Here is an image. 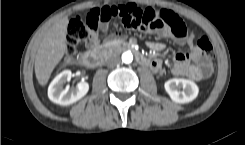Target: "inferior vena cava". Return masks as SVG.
<instances>
[{
    "instance_id": "1",
    "label": "inferior vena cava",
    "mask_w": 245,
    "mask_h": 145,
    "mask_svg": "<svg viewBox=\"0 0 245 145\" xmlns=\"http://www.w3.org/2000/svg\"><path fill=\"white\" fill-rule=\"evenodd\" d=\"M119 62V59L118 58H112L111 60H110V63L112 64V65H115V64H117Z\"/></svg>"
}]
</instances>
